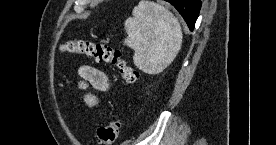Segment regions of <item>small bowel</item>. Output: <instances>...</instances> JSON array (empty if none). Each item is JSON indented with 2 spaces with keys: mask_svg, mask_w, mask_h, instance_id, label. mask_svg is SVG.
<instances>
[{
  "mask_svg": "<svg viewBox=\"0 0 276 145\" xmlns=\"http://www.w3.org/2000/svg\"><path fill=\"white\" fill-rule=\"evenodd\" d=\"M79 75L81 77L80 87L83 89H86L88 86L98 91L110 89V82L106 74L95 67L83 65L79 69ZM84 101L88 107H95L97 105L96 97L91 94H87L84 97Z\"/></svg>",
  "mask_w": 276,
  "mask_h": 145,
  "instance_id": "c3829d8e",
  "label": "small bowel"
}]
</instances>
